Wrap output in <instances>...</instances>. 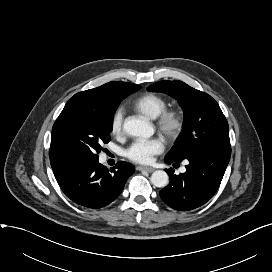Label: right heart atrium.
<instances>
[{"instance_id":"right-heart-atrium-1","label":"right heart atrium","mask_w":272,"mask_h":272,"mask_svg":"<svg viewBox=\"0 0 272 272\" xmlns=\"http://www.w3.org/2000/svg\"><path fill=\"white\" fill-rule=\"evenodd\" d=\"M124 111L119 108L113 115L111 121V132L114 135H120L123 130Z\"/></svg>"}]
</instances>
